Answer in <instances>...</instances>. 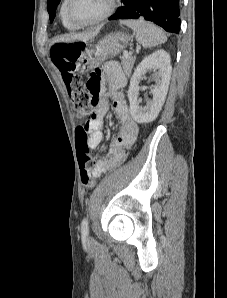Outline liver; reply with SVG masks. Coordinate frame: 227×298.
Instances as JSON below:
<instances>
[{"mask_svg": "<svg viewBox=\"0 0 227 298\" xmlns=\"http://www.w3.org/2000/svg\"><path fill=\"white\" fill-rule=\"evenodd\" d=\"M100 31V28L96 29L93 32L89 33H77V34H69L62 37H58L54 40V42H72V41H89L94 38Z\"/></svg>", "mask_w": 227, "mask_h": 298, "instance_id": "1", "label": "liver"}]
</instances>
